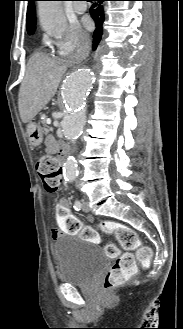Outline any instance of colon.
<instances>
[{"mask_svg":"<svg viewBox=\"0 0 183 329\" xmlns=\"http://www.w3.org/2000/svg\"><path fill=\"white\" fill-rule=\"evenodd\" d=\"M37 171L40 178L49 192L57 191L62 184V168L59 161L50 156L43 155L37 162ZM70 220H78L77 218ZM106 234L114 235L117 242L127 250H136V254L125 252L119 255V249L114 244H108L105 252L108 256L116 258L112 268L108 271L104 287L110 290L121 286L137 272L136 260L141 264H148L151 259V251L142 245L136 233L128 226L107 221L102 225ZM82 237V236H81Z\"/></svg>","mask_w":183,"mask_h":329,"instance_id":"colon-1","label":"colon"}]
</instances>
